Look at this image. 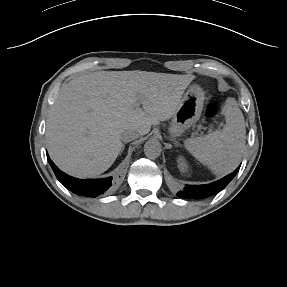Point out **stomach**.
I'll list each match as a JSON object with an SVG mask.
<instances>
[{"instance_id":"0dacf381","label":"stomach","mask_w":287,"mask_h":287,"mask_svg":"<svg viewBox=\"0 0 287 287\" xmlns=\"http://www.w3.org/2000/svg\"><path fill=\"white\" fill-rule=\"evenodd\" d=\"M203 102L204 95L201 89L197 86L190 87L169 123L168 134L171 138L182 136L200 119Z\"/></svg>"}]
</instances>
